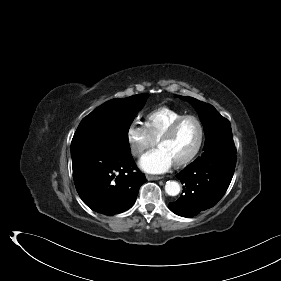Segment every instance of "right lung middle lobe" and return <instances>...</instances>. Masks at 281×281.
Segmentation results:
<instances>
[{"label": "right lung middle lobe", "instance_id": "right-lung-middle-lobe-1", "mask_svg": "<svg viewBox=\"0 0 281 281\" xmlns=\"http://www.w3.org/2000/svg\"><path fill=\"white\" fill-rule=\"evenodd\" d=\"M149 94L105 102L79 124L72 142V158L88 153H121L130 151L128 131L137 112Z\"/></svg>", "mask_w": 281, "mask_h": 281}]
</instances>
